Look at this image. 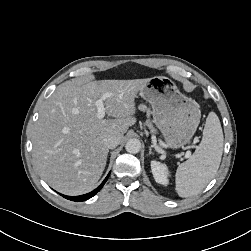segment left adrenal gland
Listing matches in <instances>:
<instances>
[{
  "mask_svg": "<svg viewBox=\"0 0 251 251\" xmlns=\"http://www.w3.org/2000/svg\"><path fill=\"white\" fill-rule=\"evenodd\" d=\"M151 154H153V152H152V148H151V147H149V155H151Z\"/></svg>",
  "mask_w": 251,
  "mask_h": 251,
  "instance_id": "a2214340",
  "label": "left adrenal gland"
}]
</instances>
